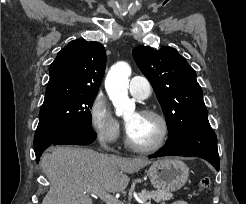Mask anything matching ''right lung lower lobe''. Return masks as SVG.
Returning a JSON list of instances; mask_svg holds the SVG:
<instances>
[{"mask_svg":"<svg viewBox=\"0 0 246 204\" xmlns=\"http://www.w3.org/2000/svg\"><path fill=\"white\" fill-rule=\"evenodd\" d=\"M96 138V133L92 130L77 129L73 133L67 134L56 142L39 144L34 148L36 162H39L40 156L46 148L51 145H87L92 143Z\"/></svg>","mask_w":246,"mask_h":204,"instance_id":"obj_1","label":"right lung lower lobe"}]
</instances>
